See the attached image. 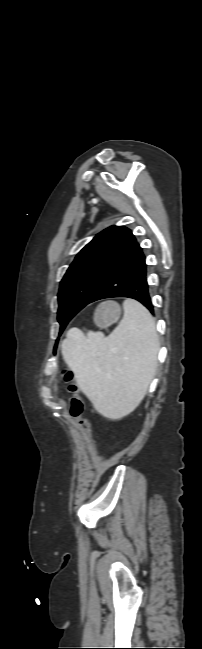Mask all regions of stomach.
Here are the masks:
<instances>
[{
    "label": "stomach",
    "mask_w": 202,
    "mask_h": 649,
    "mask_svg": "<svg viewBox=\"0 0 202 649\" xmlns=\"http://www.w3.org/2000/svg\"><path fill=\"white\" fill-rule=\"evenodd\" d=\"M120 315V305L113 301H107L99 305L97 308L94 321L98 327L105 328L117 322Z\"/></svg>",
    "instance_id": "obj_1"
}]
</instances>
